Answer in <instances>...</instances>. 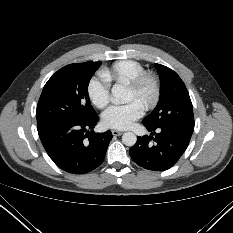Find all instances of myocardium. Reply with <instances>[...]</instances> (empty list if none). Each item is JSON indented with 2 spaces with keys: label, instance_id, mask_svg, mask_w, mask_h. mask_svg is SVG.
<instances>
[{
  "label": "myocardium",
  "instance_id": "obj_1",
  "mask_svg": "<svg viewBox=\"0 0 233 233\" xmlns=\"http://www.w3.org/2000/svg\"><path fill=\"white\" fill-rule=\"evenodd\" d=\"M129 87L138 95H143L146 88H149V96L143 101L145 109H152L158 104L161 97V83L156 73L152 71H143L129 82Z\"/></svg>",
  "mask_w": 233,
  "mask_h": 233
}]
</instances>
